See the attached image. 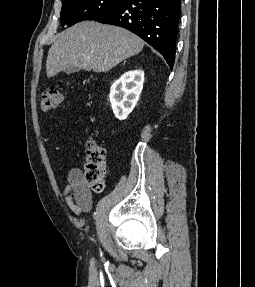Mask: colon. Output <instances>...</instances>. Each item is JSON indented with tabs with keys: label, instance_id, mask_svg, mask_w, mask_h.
<instances>
[{
	"label": "colon",
	"instance_id": "colon-1",
	"mask_svg": "<svg viewBox=\"0 0 255 287\" xmlns=\"http://www.w3.org/2000/svg\"><path fill=\"white\" fill-rule=\"evenodd\" d=\"M64 98L61 88L53 86L45 90L40 99V107L44 112L57 108ZM84 180L88 187L96 192L104 189L106 176V150L104 146L94 140L86 144L84 158Z\"/></svg>",
	"mask_w": 255,
	"mask_h": 287
}]
</instances>
